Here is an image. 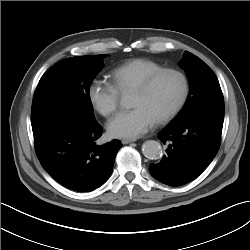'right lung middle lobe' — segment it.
Instances as JSON below:
<instances>
[{
  "instance_id": "right-lung-middle-lobe-1",
  "label": "right lung middle lobe",
  "mask_w": 250,
  "mask_h": 250,
  "mask_svg": "<svg viewBox=\"0 0 250 250\" xmlns=\"http://www.w3.org/2000/svg\"><path fill=\"white\" fill-rule=\"evenodd\" d=\"M106 55L77 56L52 66L40 79L31 111L33 134L95 123L89 86Z\"/></svg>"
}]
</instances>
